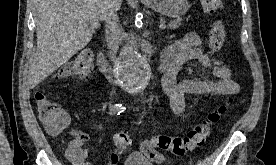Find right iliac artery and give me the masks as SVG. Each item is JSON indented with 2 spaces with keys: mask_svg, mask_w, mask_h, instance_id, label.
I'll return each instance as SVG.
<instances>
[{
  "mask_svg": "<svg viewBox=\"0 0 276 165\" xmlns=\"http://www.w3.org/2000/svg\"><path fill=\"white\" fill-rule=\"evenodd\" d=\"M125 107H123L121 104H116L115 106H112L110 108L111 113H117V115L121 114L125 111Z\"/></svg>",
  "mask_w": 276,
  "mask_h": 165,
  "instance_id": "right-iliac-artery-1",
  "label": "right iliac artery"
}]
</instances>
